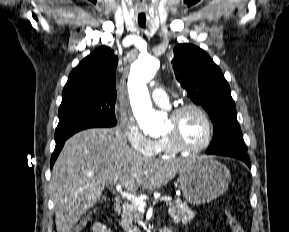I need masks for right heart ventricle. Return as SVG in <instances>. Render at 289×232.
<instances>
[{
  "label": "right heart ventricle",
  "mask_w": 289,
  "mask_h": 232,
  "mask_svg": "<svg viewBox=\"0 0 289 232\" xmlns=\"http://www.w3.org/2000/svg\"><path fill=\"white\" fill-rule=\"evenodd\" d=\"M173 153L175 152H173L170 149V147L168 146V144L163 138L158 140V147H157V151L155 155L168 156V155H172Z\"/></svg>",
  "instance_id": "1"
}]
</instances>
